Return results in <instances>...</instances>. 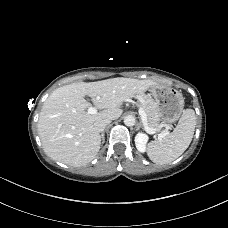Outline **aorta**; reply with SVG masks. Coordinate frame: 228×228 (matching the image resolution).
I'll return each instance as SVG.
<instances>
[{"label": "aorta", "mask_w": 228, "mask_h": 228, "mask_svg": "<svg viewBox=\"0 0 228 228\" xmlns=\"http://www.w3.org/2000/svg\"><path fill=\"white\" fill-rule=\"evenodd\" d=\"M124 124L128 127H132L135 125V117L132 115H128L124 118Z\"/></svg>", "instance_id": "aorta-1"}]
</instances>
